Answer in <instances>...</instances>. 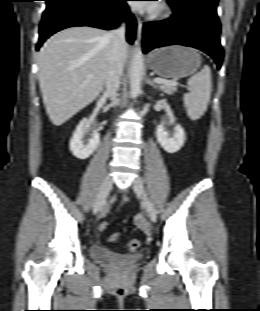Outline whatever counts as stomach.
I'll return each mask as SVG.
<instances>
[{"label": "stomach", "instance_id": "obj_1", "mask_svg": "<svg viewBox=\"0 0 260 311\" xmlns=\"http://www.w3.org/2000/svg\"><path fill=\"white\" fill-rule=\"evenodd\" d=\"M201 56L195 49L174 45L162 47L148 57L151 70L164 78H183L197 71Z\"/></svg>", "mask_w": 260, "mask_h": 311}]
</instances>
